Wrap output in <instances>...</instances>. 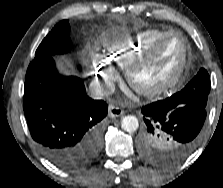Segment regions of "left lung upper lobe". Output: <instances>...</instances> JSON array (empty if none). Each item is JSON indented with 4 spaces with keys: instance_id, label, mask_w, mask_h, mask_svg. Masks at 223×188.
Returning a JSON list of instances; mask_svg holds the SVG:
<instances>
[{
    "instance_id": "left-lung-upper-lobe-1",
    "label": "left lung upper lobe",
    "mask_w": 223,
    "mask_h": 188,
    "mask_svg": "<svg viewBox=\"0 0 223 188\" xmlns=\"http://www.w3.org/2000/svg\"><path fill=\"white\" fill-rule=\"evenodd\" d=\"M210 87L209 74L201 68L184 89L167 98L166 101L181 106L191 104L206 108ZM174 148L175 144L161 131L148 132L143 129L140 134V154L152 164L162 166L175 163L177 160L173 154Z\"/></svg>"
}]
</instances>
